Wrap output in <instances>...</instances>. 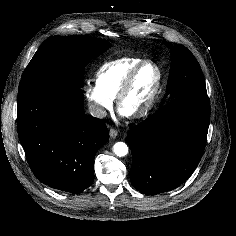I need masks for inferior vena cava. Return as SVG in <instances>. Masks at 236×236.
I'll return each mask as SVG.
<instances>
[{
	"mask_svg": "<svg viewBox=\"0 0 236 236\" xmlns=\"http://www.w3.org/2000/svg\"><path fill=\"white\" fill-rule=\"evenodd\" d=\"M88 110L92 116L97 118H104L107 114L105 109L96 102L88 103Z\"/></svg>",
	"mask_w": 236,
	"mask_h": 236,
	"instance_id": "obj_1",
	"label": "inferior vena cava"
}]
</instances>
